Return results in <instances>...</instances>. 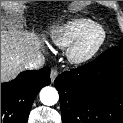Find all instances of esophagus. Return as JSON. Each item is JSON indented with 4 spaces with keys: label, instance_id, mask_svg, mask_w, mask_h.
<instances>
[{
    "label": "esophagus",
    "instance_id": "esophagus-1",
    "mask_svg": "<svg viewBox=\"0 0 123 123\" xmlns=\"http://www.w3.org/2000/svg\"><path fill=\"white\" fill-rule=\"evenodd\" d=\"M57 76H58V71L56 69H52L50 72L51 81L54 82Z\"/></svg>",
    "mask_w": 123,
    "mask_h": 123
}]
</instances>
